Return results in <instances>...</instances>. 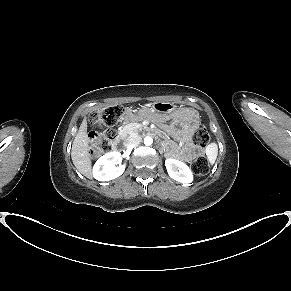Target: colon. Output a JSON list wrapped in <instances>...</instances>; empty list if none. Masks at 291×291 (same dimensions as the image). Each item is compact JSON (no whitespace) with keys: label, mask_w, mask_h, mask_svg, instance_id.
I'll use <instances>...</instances> for the list:
<instances>
[{"label":"colon","mask_w":291,"mask_h":291,"mask_svg":"<svg viewBox=\"0 0 291 291\" xmlns=\"http://www.w3.org/2000/svg\"><path fill=\"white\" fill-rule=\"evenodd\" d=\"M124 109L118 105L107 106L99 109L93 116V121L98 130L90 133V154L99 157L112 151L115 145L116 131L113 127L122 119ZM209 132L205 125L197 128L193 134V145L203 148L209 141ZM193 171L198 175L208 172V161L204 156H198L193 164Z\"/></svg>","instance_id":"obj_1"}]
</instances>
